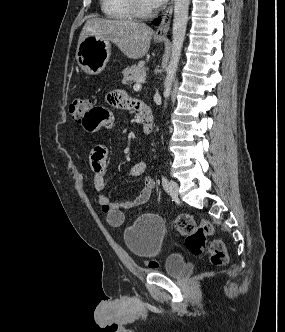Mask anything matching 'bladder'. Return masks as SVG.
I'll return each mask as SVG.
<instances>
[{"label": "bladder", "mask_w": 285, "mask_h": 332, "mask_svg": "<svg viewBox=\"0 0 285 332\" xmlns=\"http://www.w3.org/2000/svg\"><path fill=\"white\" fill-rule=\"evenodd\" d=\"M163 219L152 213L136 218L124 231L123 239L128 250L135 256L146 258L159 253L166 236ZM191 270L189 262L179 254L167 257L165 272L172 277H184Z\"/></svg>", "instance_id": "obj_1"}]
</instances>
